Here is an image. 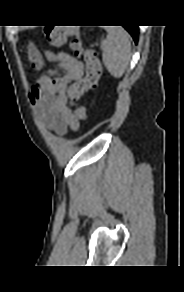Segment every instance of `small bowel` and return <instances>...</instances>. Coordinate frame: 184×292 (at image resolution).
<instances>
[{
  "label": "small bowel",
  "instance_id": "small-bowel-1",
  "mask_svg": "<svg viewBox=\"0 0 184 292\" xmlns=\"http://www.w3.org/2000/svg\"><path fill=\"white\" fill-rule=\"evenodd\" d=\"M44 58L57 67L38 78L31 88L30 100L43 123L58 135L76 131L78 119L66 106V90L78 81L82 75L83 63L65 52L39 51L32 49L30 62L36 69H41Z\"/></svg>",
  "mask_w": 184,
  "mask_h": 292
}]
</instances>
